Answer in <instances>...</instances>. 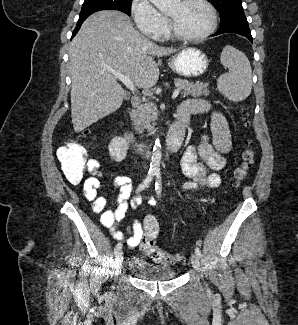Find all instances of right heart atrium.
Segmentation results:
<instances>
[{
	"label": "right heart atrium",
	"instance_id": "d8ad5b80",
	"mask_svg": "<svg viewBox=\"0 0 298 325\" xmlns=\"http://www.w3.org/2000/svg\"><path fill=\"white\" fill-rule=\"evenodd\" d=\"M131 13L139 30L148 41H166L167 21L151 0H134Z\"/></svg>",
	"mask_w": 298,
	"mask_h": 325
}]
</instances>
